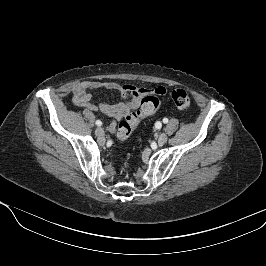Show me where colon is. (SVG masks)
Segmentation results:
<instances>
[{"label":"colon","mask_w":266,"mask_h":266,"mask_svg":"<svg viewBox=\"0 0 266 266\" xmlns=\"http://www.w3.org/2000/svg\"><path fill=\"white\" fill-rule=\"evenodd\" d=\"M171 99L175 106L181 110L191 107V99L188 93L183 89H175L171 92ZM161 101L154 94H147L141 99V107L138 111L129 114L122 122H120L117 129V137L121 141L127 140L134 128L140 121L148 116L156 113L160 107Z\"/></svg>","instance_id":"5ec220e1"}]
</instances>
